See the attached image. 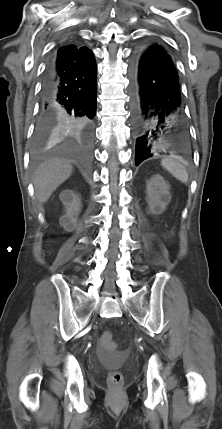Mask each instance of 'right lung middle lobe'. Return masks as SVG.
Listing matches in <instances>:
<instances>
[{
  "instance_id": "right-lung-middle-lobe-1",
  "label": "right lung middle lobe",
  "mask_w": 222,
  "mask_h": 429,
  "mask_svg": "<svg viewBox=\"0 0 222 429\" xmlns=\"http://www.w3.org/2000/svg\"><path fill=\"white\" fill-rule=\"evenodd\" d=\"M54 129H46L37 127L35 131V147L36 149L45 145L50 139L55 137Z\"/></svg>"
}]
</instances>
